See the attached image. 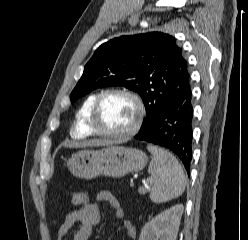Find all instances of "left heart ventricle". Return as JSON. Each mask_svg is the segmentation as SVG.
<instances>
[{"label": "left heart ventricle", "mask_w": 248, "mask_h": 240, "mask_svg": "<svg viewBox=\"0 0 248 240\" xmlns=\"http://www.w3.org/2000/svg\"><path fill=\"white\" fill-rule=\"evenodd\" d=\"M136 107L127 97L113 95L102 104L98 126L108 132H122L129 129L136 118Z\"/></svg>", "instance_id": "b2bd125f"}]
</instances>
